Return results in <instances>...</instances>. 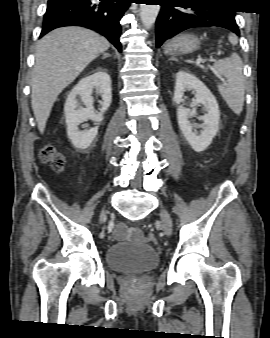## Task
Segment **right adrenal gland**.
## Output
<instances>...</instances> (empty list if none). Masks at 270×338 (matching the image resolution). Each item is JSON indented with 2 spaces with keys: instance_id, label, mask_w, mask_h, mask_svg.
Instances as JSON below:
<instances>
[{
  "instance_id": "1",
  "label": "right adrenal gland",
  "mask_w": 270,
  "mask_h": 338,
  "mask_svg": "<svg viewBox=\"0 0 270 338\" xmlns=\"http://www.w3.org/2000/svg\"><path fill=\"white\" fill-rule=\"evenodd\" d=\"M107 57H111V55L109 53H104L103 55V59L107 58Z\"/></svg>"
}]
</instances>
